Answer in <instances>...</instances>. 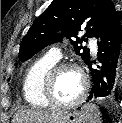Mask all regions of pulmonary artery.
I'll return each instance as SVG.
<instances>
[{
  "mask_svg": "<svg viewBox=\"0 0 122 123\" xmlns=\"http://www.w3.org/2000/svg\"><path fill=\"white\" fill-rule=\"evenodd\" d=\"M90 47L92 48L93 52H95V53L97 52V43L95 40H91ZM46 56H48L49 58H51L54 61H58L62 56L61 50L56 47L51 48Z\"/></svg>",
  "mask_w": 122,
  "mask_h": 123,
  "instance_id": "obj_1",
  "label": "pulmonary artery"
}]
</instances>
